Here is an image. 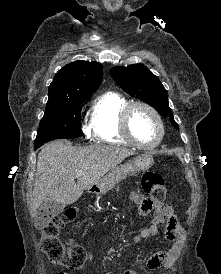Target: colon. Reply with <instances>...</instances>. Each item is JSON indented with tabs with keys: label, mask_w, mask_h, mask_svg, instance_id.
Returning a JSON list of instances; mask_svg holds the SVG:
<instances>
[{
	"label": "colon",
	"mask_w": 221,
	"mask_h": 274,
	"mask_svg": "<svg viewBox=\"0 0 221 274\" xmlns=\"http://www.w3.org/2000/svg\"><path fill=\"white\" fill-rule=\"evenodd\" d=\"M142 188L152 201L161 202L166 196L164 181L158 174L146 173L142 178ZM75 214L74 210H68L63 218L56 217L43 224L40 240L42 251L54 264L71 270L82 267L88 258L87 252L80 245H64L59 239L60 230L67 220L75 217Z\"/></svg>",
	"instance_id": "5ec220e1"
}]
</instances>
